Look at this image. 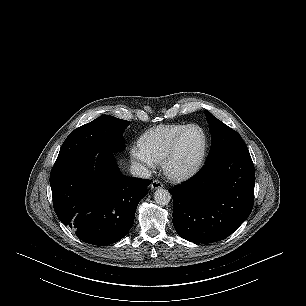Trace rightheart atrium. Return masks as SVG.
<instances>
[{
  "mask_svg": "<svg viewBox=\"0 0 306 306\" xmlns=\"http://www.w3.org/2000/svg\"><path fill=\"white\" fill-rule=\"evenodd\" d=\"M132 162L143 171H151L156 167V160L151 157L141 146L132 147L130 150Z\"/></svg>",
  "mask_w": 306,
  "mask_h": 306,
  "instance_id": "right-heart-atrium-1",
  "label": "right heart atrium"
}]
</instances>
